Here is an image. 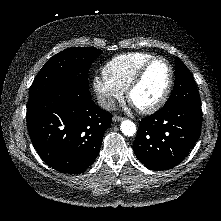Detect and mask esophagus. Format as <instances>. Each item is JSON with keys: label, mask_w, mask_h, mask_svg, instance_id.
<instances>
[{"label": "esophagus", "mask_w": 221, "mask_h": 221, "mask_svg": "<svg viewBox=\"0 0 221 221\" xmlns=\"http://www.w3.org/2000/svg\"><path fill=\"white\" fill-rule=\"evenodd\" d=\"M121 120H123V117L118 116V115H114V116H113V121H114V122H119V121H121Z\"/></svg>", "instance_id": "obj_1"}]
</instances>
